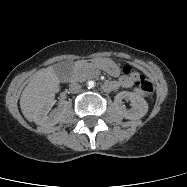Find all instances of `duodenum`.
<instances>
[{
	"instance_id": "1",
	"label": "duodenum",
	"mask_w": 187,
	"mask_h": 187,
	"mask_svg": "<svg viewBox=\"0 0 187 187\" xmlns=\"http://www.w3.org/2000/svg\"><path fill=\"white\" fill-rule=\"evenodd\" d=\"M89 62H90V60H79V61H77V62L75 63V66H76V67H80V66H82V65H84V64H86V63H89ZM103 87H104V89L107 88V87H108V83H107V82L104 83Z\"/></svg>"
}]
</instances>
